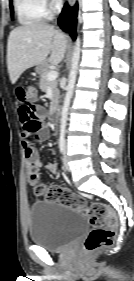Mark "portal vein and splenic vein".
Listing matches in <instances>:
<instances>
[{
	"label": "portal vein and splenic vein",
	"instance_id": "1",
	"mask_svg": "<svg viewBox=\"0 0 134 281\" xmlns=\"http://www.w3.org/2000/svg\"><path fill=\"white\" fill-rule=\"evenodd\" d=\"M58 77V72L57 71H50L47 75V78L49 81L55 80Z\"/></svg>",
	"mask_w": 134,
	"mask_h": 281
}]
</instances>
